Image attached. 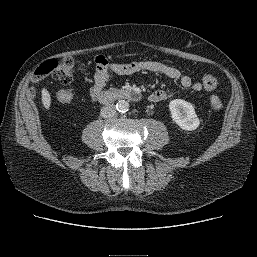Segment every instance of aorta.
Listing matches in <instances>:
<instances>
[{
    "mask_svg": "<svg viewBox=\"0 0 257 257\" xmlns=\"http://www.w3.org/2000/svg\"><path fill=\"white\" fill-rule=\"evenodd\" d=\"M116 109L120 113H125L129 110V103L126 100H119L116 104Z\"/></svg>",
    "mask_w": 257,
    "mask_h": 257,
    "instance_id": "762f6f07",
    "label": "aorta"
}]
</instances>
